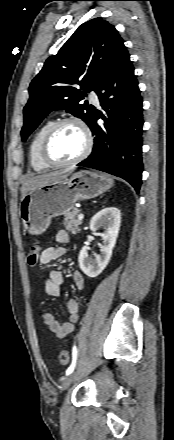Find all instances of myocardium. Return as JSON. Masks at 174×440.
<instances>
[{
  "label": "myocardium",
  "instance_id": "f54148a6",
  "mask_svg": "<svg viewBox=\"0 0 174 440\" xmlns=\"http://www.w3.org/2000/svg\"><path fill=\"white\" fill-rule=\"evenodd\" d=\"M68 123L76 124L81 128L85 137V145L81 153L76 158L66 162H56L49 155V145L53 135L58 130V128ZM92 148H93V135L89 126L85 123V121H83L79 117L68 116L55 121L47 130L41 144V158L47 165L51 167L62 168L80 163L90 154Z\"/></svg>",
  "mask_w": 174,
  "mask_h": 440
}]
</instances>
